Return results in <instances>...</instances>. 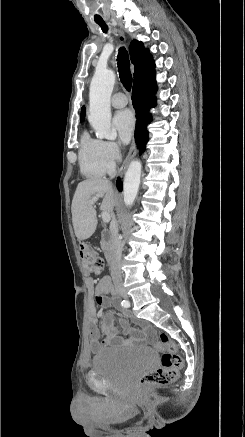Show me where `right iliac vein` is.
<instances>
[{"mask_svg": "<svg viewBox=\"0 0 245 437\" xmlns=\"http://www.w3.org/2000/svg\"><path fill=\"white\" fill-rule=\"evenodd\" d=\"M122 297L127 298V292L123 289L119 290L118 292Z\"/></svg>", "mask_w": 245, "mask_h": 437, "instance_id": "63e3f726", "label": "right iliac vein"}]
</instances>
